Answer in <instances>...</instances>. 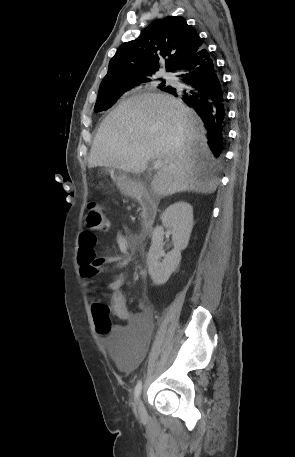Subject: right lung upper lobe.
<instances>
[{
	"label": "right lung upper lobe",
	"mask_w": 295,
	"mask_h": 457,
	"mask_svg": "<svg viewBox=\"0 0 295 457\" xmlns=\"http://www.w3.org/2000/svg\"><path fill=\"white\" fill-rule=\"evenodd\" d=\"M203 41L183 17L168 16L152 22L135 40L123 43L110 60L99 91L141 85L153 79L163 67L175 71L186 58L202 47Z\"/></svg>",
	"instance_id": "obj_1"
}]
</instances>
